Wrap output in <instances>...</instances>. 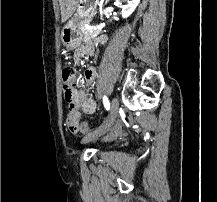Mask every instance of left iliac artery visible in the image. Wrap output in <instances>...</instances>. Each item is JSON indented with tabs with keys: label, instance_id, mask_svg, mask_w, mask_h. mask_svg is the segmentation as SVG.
<instances>
[{
	"label": "left iliac artery",
	"instance_id": "obj_1",
	"mask_svg": "<svg viewBox=\"0 0 217 202\" xmlns=\"http://www.w3.org/2000/svg\"><path fill=\"white\" fill-rule=\"evenodd\" d=\"M103 103H104V107L106 108V110H109L110 103H109L108 98L105 95L103 96Z\"/></svg>",
	"mask_w": 217,
	"mask_h": 202
}]
</instances>
